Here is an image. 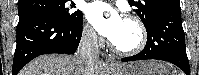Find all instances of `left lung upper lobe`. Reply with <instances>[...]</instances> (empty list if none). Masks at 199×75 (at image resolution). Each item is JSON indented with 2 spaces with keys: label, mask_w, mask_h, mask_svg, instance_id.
<instances>
[{
  "label": "left lung upper lobe",
  "mask_w": 199,
  "mask_h": 75,
  "mask_svg": "<svg viewBox=\"0 0 199 75\" xmlns=\"http://www.w3.org/2000/svg\"><path fill=\"white\" fill-rule=\"evenodd\" d=\"M135 7L134 11L142 20L144 26H148L154 16L161 10L170 7H180V0H128Z\"/></svg>",
  "instance_id": "5c2ea615"
}]
</instances>
